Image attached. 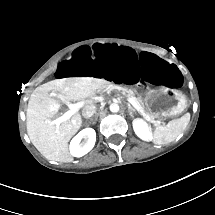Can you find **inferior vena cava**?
Listing matches in <instances>:
<instances>
[{"label":"inferior vena cava","instance_id":"inferior-vena-cava-1","mask_svg":"<svg viewBox=\"0 0 215 215\" xmlns=\"http://www.w3.org/2000/svg\"><path fill=\"white\" fill-rule=\"evenodd\" d=\"M96 113V105L89 104L83 107L82 109V116L85 119L91 118Z\"/></svg>","mask_w":215,"mask_h":215}]
</instances>
